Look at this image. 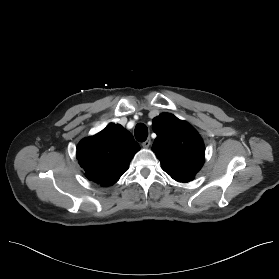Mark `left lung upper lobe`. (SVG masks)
Returning <instances> with one entry per match:
<instances>
[{"label": "left lung upper lobe", "instance_id": "left-lung-upper-lobe-1", "mask_svg": "<svg viewBox=\"0 0 279 279\" xmlns=\"http://www.w3.org/2000/svg\"><path fill=\"white\" fill-rule=\"evenodd\" d=\"M157 137L152 146L163 170L179 182L192 180L204 163L205 147L200 135L187 122L162 113L153 119Z\"/></svg>", "mask_w": 279, "mask_h": 279}]
</instances>
